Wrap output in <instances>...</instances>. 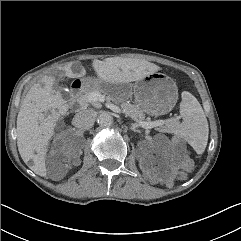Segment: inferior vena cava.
<instances>
[{
  "label": "inferior vena cava",
  "mask_w": 241,
  "mask_h": 241,
  "mask_svg": "<svg viewBox=\"0 0 241 241\" xmlns=\"http://www.w3.org/2000/svg\"><path fill=\"white\" fill-rule=\"evenodd\" d=\"M96 116L97 113L93 109L81 110L74 116L73 124L77 128L88 130L94 125Z\"/></svg>",
  "instance_id": "1"
}]
</instances>
